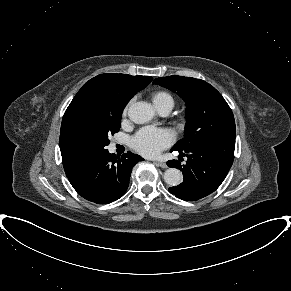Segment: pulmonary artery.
Returning <instances> with one entry per match:
<instances>
[{
    "label": "pulmonary artery",
    "instance_id": "e3ab8cb5",
    "mask_svg": "<svg viewBox=\"0 0 291 291\" xmlns=\"http://www.w3.org/2000/svg\"><path fill=\"white\" fill-rule=\"evenodd\" d=\"M170 108L169 107H165V108H162L159 110V112L162 114V115H167L169 112H170Z\"/></svg>",
    "mask_w": 291,
    "mask_h": 291
}]
</instances>
